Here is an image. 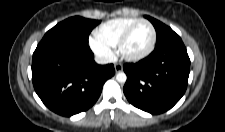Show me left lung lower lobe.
<instances>
[{"label":"left lung lower lobe","instance_id":"obj_1","mask_svg":"<svg viewBox=\"0 0 225 132\" xmlns=\"http://www.w3.org/2000/svg\"><path fill=\"white\" fill-rule=\"evenodd\" d=\"M127 81L123 91L135 107L151 114L172 108L184 95L190 59L182 41L154 49L145 59L124 64Z\"/></svg>","mask_w":225,"mask_h":132}]
</instances>
